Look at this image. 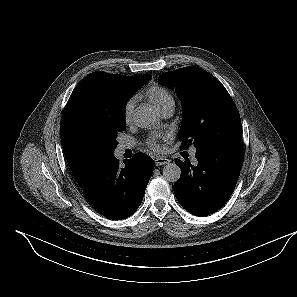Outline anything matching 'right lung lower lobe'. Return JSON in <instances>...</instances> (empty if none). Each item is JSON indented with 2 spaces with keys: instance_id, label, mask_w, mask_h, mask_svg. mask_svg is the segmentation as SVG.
<instances>
[{
  "instance_id": "98d812e1",
  "label": "right lung lower lobe",
  "mask_w": 297,
  "mask_h": 297,
  "mask_svg": "<svg viewBox=\"0 0 297 297\" xmlns=\"http://www.w3.org/2000/svg\"><path fill=\"white\" fill-rule=\"evenodd\" d=\"M124 164L113 156L81 188L90 205L113 220L125 219L138 209L154 169V160L144 153H136Z\"/></svg>"
}]
</instances>
